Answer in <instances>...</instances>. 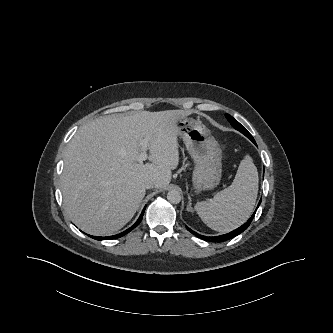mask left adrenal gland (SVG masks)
<instances>
[{
    "label": "left adrenal gland",
    "instance_id": "left-adrenal-gland-1",
    "mask_svg": "<svg viewBox=\"0 0 333 333\" xmlns=\"http://www.w3.org/2000/svg\"><path fill=\"white\" fill-rule=\"evenodd\" d=\"M188 206H187V211H190V212H192L193 211V209H192V207H191V197H190V195L188 194Z\"/></svg>",
    "mask_w": 333,
    "mask_h": 333
}]
</instances>
